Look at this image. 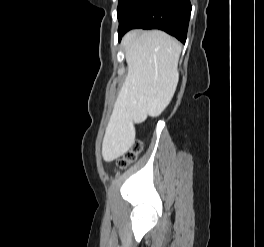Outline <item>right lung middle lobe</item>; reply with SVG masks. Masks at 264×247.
<instances>
[{
	"label": "right lung middle lobe",
	"mask_w": 264,
	"mask_h": 247,
	"mask_svg": "<svg viewBox=\"0 0 264 247\" xmlns=\"http://www.w3.org/2000/svg\"><path fill=\"white\" fill-rule=\"evenodd\" d=\"M130 0H118V7H117V16L118 18L121 17L127 3L129 2Z\"/></svg>",
	"instance_id": "right-lung-middle-lobe-1"
}]
</instances>
